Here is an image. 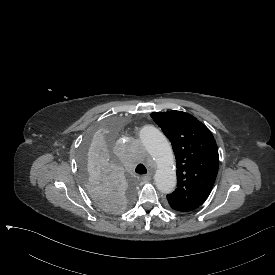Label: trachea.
Returning <instances> with one entry per match:
<instances>
[{
	"label": "trachea",
	"mask_w": 275,
	"mask_h": 275,
	"mask_svg": "<svg viewBox=\"0 0 275 275\" xmlns=\"http://www.w3.org/2000/svg\"><path fill=\"white\" fill-rule=\"evenodd\" d=\"M136 173L138 174H146L147 173V169L145 168L144 165L142 164H139L137 167H136Z\"/></svg>",
	"instance_id": "1"
}]
</instances>
